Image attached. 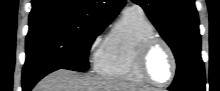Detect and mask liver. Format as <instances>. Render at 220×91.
<instances>
[{"mask_svg":"<svg viewBox=\"0 0 220 91\" xmlns=\"http://www.w3.org/2000/svg\"><path fill=\"white\" fill-rule=\"evenodd\" d=\"M33 91H143L127 82L99 76H82L57 70L45 76Z\"/></svg>","mask_w":220,"mask_h":91,"instance_id":"liver-1","label":"liver"}]
</instances>
